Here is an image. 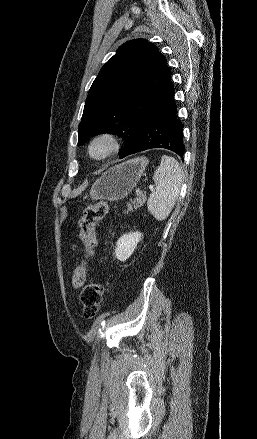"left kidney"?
<instances>
[{
    "instance_id": "obj_1",
    "label": "left kidney",
    "mask_w": 257,
    "mask_h": 439,
    "mask_svg": "<svg viewBox=\"0 0 257 439\" xmlns=\"http://www.w3.org/2000/svg\"><path fill=\"white\" fill-rule=\"evenodd\" d=\"M140 232L124 234L116 243L115 256L120 261H126L134 252L138 242L141 240Z\"/></svg>"
}]
</instances>
